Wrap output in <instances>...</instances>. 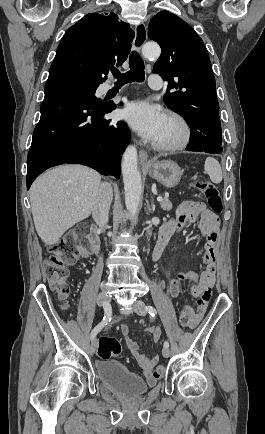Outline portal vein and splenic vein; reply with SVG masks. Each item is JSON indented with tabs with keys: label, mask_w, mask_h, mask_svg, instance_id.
<instances>
[{
	"label": "portal vein and splenic vein",
	"mask_w": 265,
	"mask_h": 434,
	"mask_svg": "<svg viewBox=\"0 0 265 434\" xmlns=\"http://www.w3.org/2000/svg\"><path fill=\"white\" fill-rule=\"evenodd\" d=\"M76 200H79V198H76ZM163 198H157V202H162Z\"/></svg>",
	"instance_id": "1"
}]
</instances>
